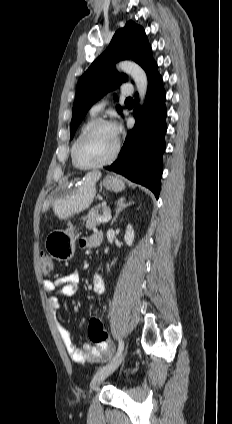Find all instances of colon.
Segmentation results:
<instances>
[{"mask_svg":"<svg viewBox=\"0 0 232 424\" xmlns=\"http://www.w3.org/2000/svg\"><path fill=\"white\" fill-rule=\"evenodd\" d=\"M40 260L42 264V271L48 275L53 272L54 265L51 257L46 252L40 253ZM88 338L96 344H104L108 341V336L104 330V326L100 317H92L88 321Z\"/></svg>","mask_w":232,"mask_h":424,"instance_id":"1","label":"colon"}]
</instances>
